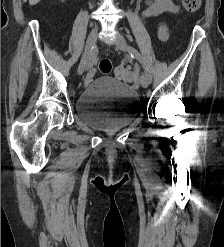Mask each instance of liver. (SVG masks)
I'll list each match as a JSON object with an SVG mask.
<instances>
[{
    "label": "liver",
    "instance_id": "obj_1",
    "mask_svg": "<svg viewBox=\"0 0 224 247\" xmlns=\"http://www.w3.org/2000/svg\"><path fill=\"white\" fill-rule=\"evenodd\" d=\"M38 2H40V0H29L30 6H35V4H38Z\"/></svg>",
    "mask_w": 224,
    "mask_h": 247
}]
</instances>
